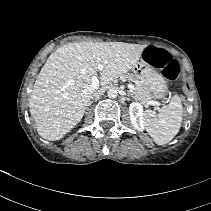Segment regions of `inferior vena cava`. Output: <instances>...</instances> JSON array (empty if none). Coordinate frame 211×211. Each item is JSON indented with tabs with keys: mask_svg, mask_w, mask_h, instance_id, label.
Masks as SVG:
<instances>
[{
	"mask_svg": "<svg viewBox=\"0 0 211 211\" xmlns=\"http://www.w3.org/2000/svg\"><path fill=\"white\" fill-rule=\"evenodd\" d=\"M103 93H104V91L98 90V91L94 92V93L91 95V99H93V98H98V97L102 96Z\"/></svg>",
	"mask_w": 211,
	"mask_h": 211,
	"instance_id": "inferior-vena-cava-1",
	"label": "inferior vena cava"
}]
</instances>
